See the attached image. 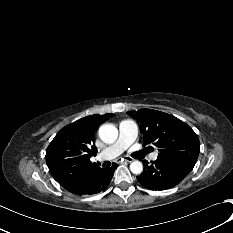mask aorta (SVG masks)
Wrapping results in <instances>:
<instances>
[{"instance_id": "obj_1", "label": "aorta", "mask_w": 233, "mask_h": 233, "mask_svg": "<svg viewBox=\"0 0 233 233\" xmlns=\"http://www.w3.org/2000/svg\"><path fill=\"white\" fill-rule=\"evenodd\" d=\"M100 139L107 144H111L116 141L118 137V130L112 124H104L99 128ZM130 170L134 174H141L143 172L142 162L136 160L130 164Z\"/></svg>"}]
</instances>
